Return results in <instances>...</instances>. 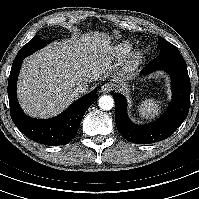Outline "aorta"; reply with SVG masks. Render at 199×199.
Segmentation results:
<instances>
[{
    "label": "aorta",
    "instance_id": "762f6f07",
    "mask_svg": "<svg viewBox=\"0 0 199 199\" xmlns=\"http://www.w3.org/2000/svg\"><path fill=\"white\" fill-rule=\"evenodd\" d=\"M99 107L102 110H110L114 106V99L110 95H103L98 100Z\"/></svg>",
    "mask_w": 199,
    "mask_h": 199
}]
</instances>
